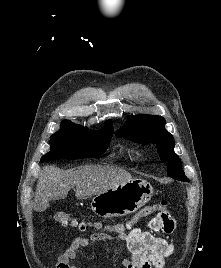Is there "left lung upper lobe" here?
Instances as JSON below:
<instances>
[{
	"label": "left lung upper lobe",
	"instance_id": "5c2ea615",
	"mask_svg": "<svg viewBox=\"0 0 221 268\" xmlns=\"http://www.w3.org/2000/svg\"><path fill=\"white\" fill-rule=\"evenodd\" d=\"M165 119L157 115L135 116L115 134L141 144L153 143L158 146L162 161L168 166V175L180 181H189L178 155L174 152L173 136L165 129Z\"/></svg>",
	"mask_w": 221,
	"mask_h": 268
}]
</instances>
